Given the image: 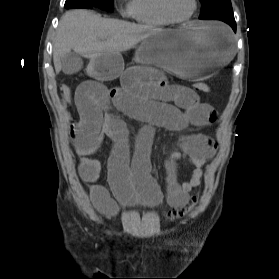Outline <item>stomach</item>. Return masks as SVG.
<instances>
[{"label":"stomach","mask_w":279,"mask_h":279,"mask_svg":"<svg viewBox=\"0 0 279 279\" xmlns=\"http://www.w3.org/2000/svg\"><path fill=\"white\" fill-rule=\"evenodd\" d=\"M227 28V24L192 22L165 29L142 41L136 61L162 72H175L181 82H207V78H214L213 72L226 69L238 55ZM123 68L120 54H91L78 75L89 82H113Z\"/></svg>","instance_id":"1"}]
</instances>
